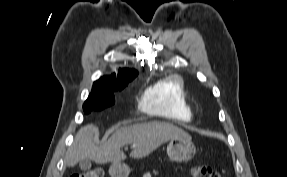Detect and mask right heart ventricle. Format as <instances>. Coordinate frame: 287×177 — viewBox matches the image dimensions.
Here are the masks:
<instances>
[{
	"label": "right heart ventricle",
	"instance_id": "e07e8e85",
	"mask_svg": "<svg viewBox=\"0 0 287 177\" xmlns=\"http://www.w3.org/2000/svg\"><path fill=\"white\" fill-rule=\"evenodd\" d=\"M141 110L147 115L169 121H188L192 116L188 88L179 75L163 78L144 92Z\"/></svg>",
	"mask_w": 287,
	"mask_h": 177
}]
</instances>
